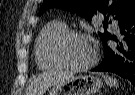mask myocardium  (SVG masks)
Listing matches in <instances>:
<instances>
[{
	"mask_svg": "<svg viewBox=\"0 0 135 95\" xmlns=\"http://www.w3.org/2000/svg\"><path fill=\"white\" fill-rule=\"evenodd\" d=\"M80 37L87 39L90 41V38L88 35H86L83 32L76 31V30H67L64 33H62L53 43L52 46V55L54 59L64 68L71 69V70H85L90 68L95 64L97 61L98 53L96 47L93 45V56L90 59L89 62L81 65H74L69 63L63 56V48L67 41H69L72 38Z\"/></svg>",
	"mask_w": 135,
	"mask_h": 95,
	"instance_id": "1",
	"label": "myocardium"
}]
</instances>
